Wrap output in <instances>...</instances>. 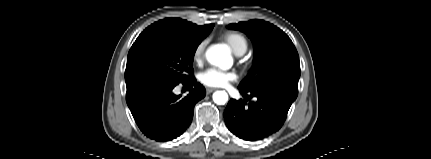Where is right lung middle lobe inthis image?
Here are the masks:
<instances>
[{
  "label": "right lung middle lobe",
  "instance_id": "right-lung-middle-lobe-1",
  "mask_svg": "<svg viewBox=\"0 0 431 159\" xmlns=\"http://www.w3.org/2000/svg\"><path fill=\"white\" fill-rule=\"evenodd\" d=\"M202 40L163 27H147L128 53L126 85L153 77L179 82L193 78V58Z\"/></svg>",
  "mask_w": 431,
  "mask_h": 159
}]
</instances>
